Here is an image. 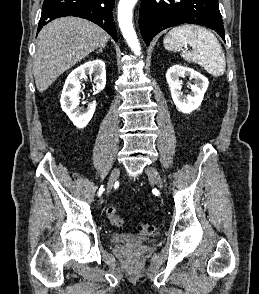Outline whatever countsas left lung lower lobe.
Wrapping results in <instances>:
<instances>
[{
    "label": "left lung lower lobe",
    "instance_id": "1",
    "mask_svg": "<svg viewBox=\"0 0 259 294\" xmlns=\"http://www.w3.org/2000/svg\"><path fill=\"white\" fill-rule=\"evenodd\" d=\"M184 23L213 29L225 41L218 0H142L139 26L147 45L162 30Z\"/></svg>",
    "mask_w": 259,
    "mask_h": 294
}]
</instances>
